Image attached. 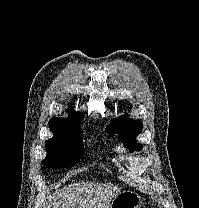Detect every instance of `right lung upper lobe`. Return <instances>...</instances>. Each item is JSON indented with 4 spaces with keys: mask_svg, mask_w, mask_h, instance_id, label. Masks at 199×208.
<instances>
[{
    "mask_svg": "<svg viewBox=\"0 0 199 208\" xmlns=\"http://www.w3.org/2000/svg\"><path fill=\"white\" fill-rule=\"evenodd\" d=\"M81 120H82V114L73 111L69 114L68 118H52L49 121V126L51 130L56 133L81 131L79 126Z\"/></svg>",
    "mask_w": 199,
    "mask_h": 208,
    "instance_id": "cb5924a9",
    "label": "right lung upper lobe"
}]
</instances>
